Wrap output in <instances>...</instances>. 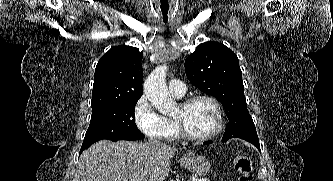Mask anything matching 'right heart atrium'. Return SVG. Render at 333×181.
Listing matches in <instances>:
<instances>
[{
	"instance_id": "1",
	"label": "right heart atrium",
	"mask_w": 333,
	"mask_h": 181,
	"mask_svg": "<svg viewBox=\"0 0 333 181\" xmlns=\"http://www.w3.org/2000/svg\"><path fill=\"white\" fill-rule=\"evenodd\" d=\"M133 118L137 128L150 138L168 139L176 129L175 123L159 114L145 96L136 101Z\"/></svg>"
}]
</instances>
